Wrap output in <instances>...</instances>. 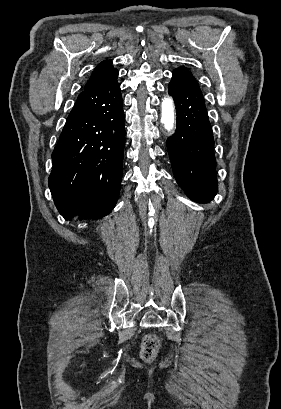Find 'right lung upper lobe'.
<instances>
[{"label": "right lung upper lobe", "instance_id": "right-lung-upper-lobe-1", "mask_svg": "<svg viewBox=\"0 0 281 409\" xmlns=\"http://www.w3.org/2000/svg\"><path fill=\"white\" fill-rule=\"evenodd\" d=\"M111 60L101 62L93 71L90 79L84 87V90L89 89L98 83L107 79L108 75L115 72L116 69L111 66Z\"/></svg>", "mask_w": 281, "mask_h": 409}]
</instances>
